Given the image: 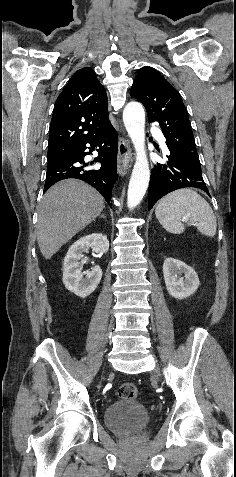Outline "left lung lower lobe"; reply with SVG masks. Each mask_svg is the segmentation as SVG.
<instances>
[{
    "instance_id": "obj_1",
    "label": "left lung lower lobe",
    "mask_w": 236,
    "mask_h": 477,
    "mask_svg": "<svg viewBox=\"0 0 236 477\" xmlns=\"http://www.w3.org/2000/svg\"><path fill=\"white\" fill-rule=\"evenodd\" d=\"M169 151L166 163H157L152 169L148 190L149 210L166 194L185 187L199 188L210 195L202 177L200 162Z\"/></svg>"
}]
</instances>
